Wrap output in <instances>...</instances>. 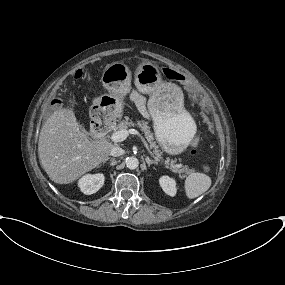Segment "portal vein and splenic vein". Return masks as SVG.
Instances as JSON below:
<instances>
[{"label": "portal vein and splenic vein", "mask_w": 285, "mask_h": 285, "mask_svg": "<svg viewBox=\"0 0 285 285\" xmlns=\"http://www.w3.org/2000/svg\"><path fill=\"white\" fill-rule=\"evenodd\" d=\"M129 134H133V135H137L142 143L144 144L145 148L147 149V151L149 152V154L156 160L159 161V159L154 155V153L151 151L148 143L146 142L145 138L139 133V131L135 130V129H129V130H120V131H116L114 133H112L111 135V140L114 142H122L124 141Z\"/></svg>", "instance_id": "18ae733b"}]
</instances>
